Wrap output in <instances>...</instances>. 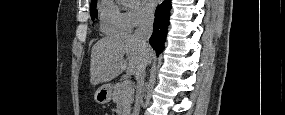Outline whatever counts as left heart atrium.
Instances as JSON below:
<instances>
[{
    "mask_svg": "<svg viewBox=\"0 0 285 115\" xmlns=\"http://www.w3.org/2000/svg\"><path fill=\"white\" fill-rule=\"evenodd\" d=\"M145 3H146L147 8L153 9L155 4H156V1H154V0H146Z\"/></svg>",
    "mask_w": 285,
    "mask_h": 115,
    "instance_id": "39dd6f15",
    "label": "left heart atrium"
}]
</instances>
